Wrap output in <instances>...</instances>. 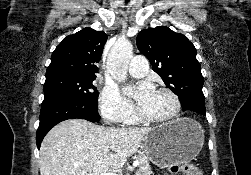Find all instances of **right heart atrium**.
<instances>
[{"mask_svg":"<svg viewBox=\"0 0 251 175\" xmlns=\"http://www.w3.org/2000/svg\"><path fill=\"white\" fill-rule=\"evenodd\" d=\"M99 111L101 115L114 123L132 121L137 113L120 95L114 85H106L99 96Z\"/></svg>","mask_w":251,"mask_h":175,"instance_id":"1","label":"right heart atrium"}]
</instances>
